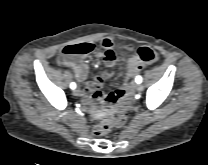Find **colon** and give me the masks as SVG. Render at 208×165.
<instances>
[{
	"mask_svg": "<svg viewBox=\"0 0 208 165\" xmlns=\"http://www.w3.org/2000/svg\"><path fill=\"white\" fill-rule=\"evenodd\" d=\"M92 52L90 45L86 43H77L65 46L61 51L62 58H76ZM159 60V55L148 47H141L137 51V55H132L129 58L128 64L124 68V74L127 77H132L144 64H152ZM122 82V81H121ZM123 85V83H122ZM121 99L124 98L128 92L127 88L122 86ZM127 114L121 110L117 115L110 120H105L97 125L94 129L96 136H103L108 133L113 127L123 126L126 123Z\"/></svg>",
	"mask_w": 208,
	"mask_h": 165,
	"instance_id": "5ec220e1",
	"label": "colon"
}]
</instances>
